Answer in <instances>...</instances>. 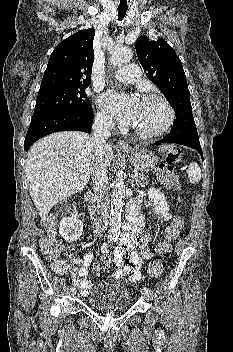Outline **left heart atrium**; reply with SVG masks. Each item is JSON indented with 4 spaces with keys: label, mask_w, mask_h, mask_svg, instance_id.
<instances>
[{
    "label": "left heart atrium",
    "mask_w": 233,
    "mask_h": 352,
    "mask_svg": "<svg viewBox=\"0 0 233 352\" xmlns=\"http://www.w3.org/2000/svg\"><path fill=\"white\" fill-rule=\"evenodd\" d=\"M140 102L135 96H127L116 92H109L103 98L104 105L121 123L127 125L134 124Z\"/></svg>",
    "instance_id": "39dd6f15"
}]
</instances>
